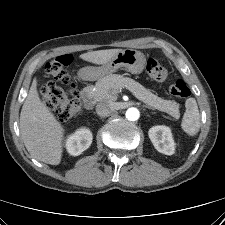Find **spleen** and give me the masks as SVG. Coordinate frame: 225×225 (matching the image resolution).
Segmentation results:
<instances>
[{
    "mask_svg": "<svg viewBox=\"0 0 225 225\" xmlns=\"http://www.w3.org/2000/svg\"><path fill=\"white\" fill-rule=\"evenodd\" d=\"M186 111L183 115L181 128L190 136H194L200 129V114L197 102L194 98H189L185 102Z\"/></svg>",
    "mask_w": 225,
    "mask_h": 225,
    "instance_id": "spleen-1",
    "label": "spleen"
}]
</instances>
